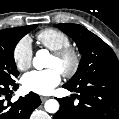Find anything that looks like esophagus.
<instances>
[{
	"instance_id": "1",
	"label": "esophagus",
	"mask_w": 119,
	"mask_h": 119,
	"mask_svg": "<svg viewBox=\"0 0 119 119\" xmlns=\"http://www.w3.org/2000/svg\"><path fill=\"white\" fill-rule=\"evenodd\" d=\"M47 99H48V97H46V96H41V101H42V102H45Z\"/></svg>"
}]
</instances>
